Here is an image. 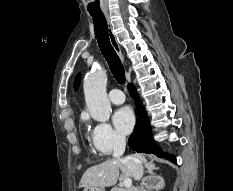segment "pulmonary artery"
Here are the masks:
<instances>
[{"mask_svg":"<svg viewBox=\"0 0 233 191\" xmlns=\"http://www.w3.org/2000/svg\"><path fill=\"white\" fill-rule=\"evenodd\" d=\"M108 96L110 101L116 105L122 104L125 101V95L120 89H112Z\"/></svg>","mask_w":233,"mask_h":191,"instance_id":"obj_1","label":"pulmonary artery"}]
</instances>
